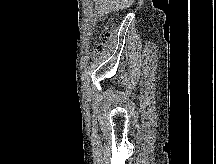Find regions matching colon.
<instances>
[{
    "label": "colon",
    "instance_id": "5ec220e1",
    "mask_svg": "<svg viewBox=\"0 0 216 164\" xmlns=\"http://www.w3.org/2000/svg\"><path fill=\"white\" fill-rule=\"evenodd\" d=\"M112 37V29L111 27H106L101 33V41L102 43L108 42ZM104 47L102 44L97 45L95 49L96 55H100L103 53Z\"/></svg>",
    "mask_w": 216,
    "mask_h": 164
}]
</instances>
